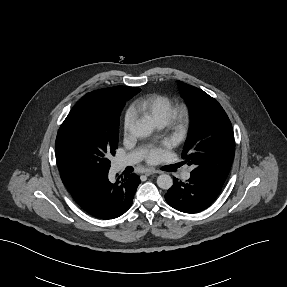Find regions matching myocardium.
<instances>
[{"mask_svg": "<svg viewBox=\"0 0 287 287\" xmlns=\"http://www.w3.org/2000/svg\"><path fill=\"white\" fill-rule=\"evenodd\" d=\"M191 118L192 111L187 104H178L172 108L166 125L173 139L180 140L186 135Z\"/></svg>", "mask_w": 287, "mask_h": 287, "instance_id": "obj_1", "label": "myocardium"}]
</instances>
